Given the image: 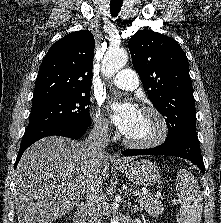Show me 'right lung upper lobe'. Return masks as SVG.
<instances>
[{"label":"right lung upper lobe","instance_id":"right-lung-upper-lobe-1","mask_svg":"<svg viewBox=\"0 0 221 223\" xmlns=\"http://www.w3.org/2000/svg\"><path fill=\"white\" fill-rule=\"evenodd\" d=\"M94 47V37L86 30L59 39L41 63L33 101L90 92Z\"/></svg>","mask_w":221,"mask_h":223}]
</instances>
